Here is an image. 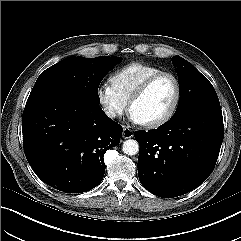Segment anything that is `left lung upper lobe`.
Masks as SVG:
<instances>
[{
    "instance_id": "left-lung-upper-lobe-1",
    "label": "left lung upper lobe",
    "mask_w": 241,
    "mask_h": 241,
    "mask_svg": "<svg viewBox=\"0 0 241 241\" xmlns=\"http://www.w3.org/2000/svg\"><path fill=\"white\" fill-rule=\"evenodd\" d=\"M171 60L180 82V99L175 114L194 107H220L216 91L204 75L179 56Z\"/></svg>"
}]
</instances>
